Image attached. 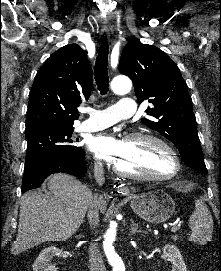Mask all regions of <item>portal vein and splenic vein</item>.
Returning <instances> with one entry per match:
<instances>
[{
	"instance_id": "1",
	"label": "portal vein and splenic vein",
	"mask_w": 221,
	"mask_h": 271,
	"mask_svg": "<svg viewBox=\"0 0 221 271\" xmlns=\"http://www.w3.org/2000/svg\"><path fill=\"white\" fill-rule=\"evenodd\" d=\"M179 225H173V227H171L170 231H177Z\"/></svg>"
}]
</instances>
